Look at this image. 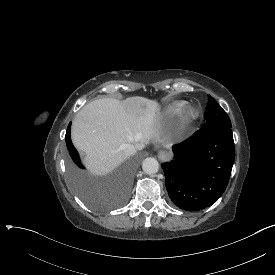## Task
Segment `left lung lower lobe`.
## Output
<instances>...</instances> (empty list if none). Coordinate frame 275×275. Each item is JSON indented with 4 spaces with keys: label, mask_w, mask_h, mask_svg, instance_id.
Listing matches in <instances>:
<instances>
[{
    "label": "left lung lower lobe",
    "mask_w": 275,
    "mask_h": 275,
    "mask_svg": "<svg viewBox=\"0 0 275 275\" xmlns=\"http://www.w3.org/2000/svg\"><path fill=\"white\" fill-rule=\"evenodd\" d=\"M174 159L162 164L172 202L186 211L214 204L225 191L235 160L231 126L208 125L180 146Z\"/></svg>",
    "instance_id": "left-lung-lower-lobe-1"
}]
</instances>
